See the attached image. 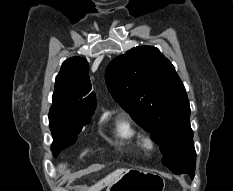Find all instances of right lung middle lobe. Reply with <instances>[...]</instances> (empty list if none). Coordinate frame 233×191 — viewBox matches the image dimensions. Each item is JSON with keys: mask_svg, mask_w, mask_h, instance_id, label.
Returning <instances> with one entry per match:
<instances>
[{"mask_svg": "<svg viewBox=\"0 0 233 191\" xmlns=\"http://www.w3.org/2000/svg\"><path fill=\"white\" fill-rule=\"evenodd\" d=\"M94 112L72 113L51 108L49 113L50 129L53 136L54 156L64 148L74 144L82 128L90 123Z\"/></svg>", "mask_w": 233, "mask_h": 191, "instance_id": "right-lung-middle-lobe-1", "label": "right lung middle lobe"}]
</instances>
